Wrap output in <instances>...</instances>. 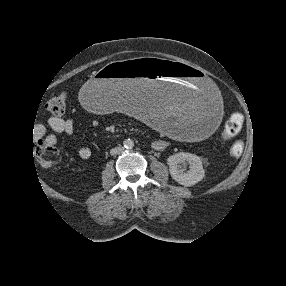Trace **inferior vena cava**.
I'll list each match as a JSON object with an SVG mask.
<instances>
[{
  "label": "inferior vena cava",
  "mask_w": 286,
  "mask_h": 286,
  "mask_svg": "<svg viewBox=\"0 0 286 286\" xmlns=\"http://www.w3.org/2000/svg\"><path fill=\"white\" fill-rule=\"evenodd\" d=\"M123 151L122 147H115L110 150L111 155H118Z\"/></svg>",
  "instance_id": "602c4592"
}]
</instances>
